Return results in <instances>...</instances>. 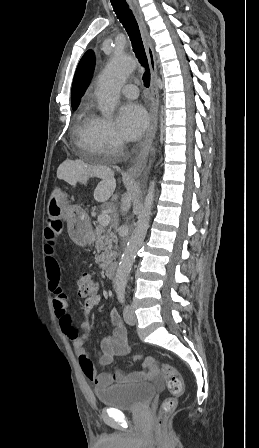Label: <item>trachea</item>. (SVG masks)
I'll list each match as a JSON object with an SVG mask.
<instances>
[{"label": "trachea", "instance_id": "obj_1", "mask_svg": "<svg viewBox=\"0 0 259 448\" xmlns=\"http://www.w3.org/2000/svg\"><path fill=\"white\" fill-rule=\"evenodd\" d=\"M110 1L114 8L115 13L117 14V17L119 18L120 22L122 23V25L124 26L126 32L130 37L133 51L135 52V55L138 58L139 63L145 69V72L143 74V83L144 86L148 88L150 86V70L140 30L138 27V23L136 22L135 17L132 11L130 10L126 0H110Z\"/></svg>", "mask_w": 259, "mask_h": 448}]
</instances>
